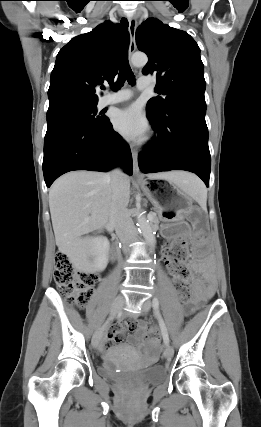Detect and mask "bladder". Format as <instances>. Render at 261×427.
Listing matches in <instances>:
<instances>
[{
  "label": "bladder",
  "mask_w": 261,
  "mask_h": 427,
  "mask_svg": "<svg viewBox=\"0 0 261 427\" xmlns=\"http://www.w3.org/2000/svg\"><path fill=\"white\" fill-rule=\"evenodd\" d=\"M98 373L107 379L120 380L124 378H135L144 383H159L166 376L165 368L161 365H153L143 369H135L129 366H119L111 360H106L98 368Z\"/></svg>",
  "instance_id": "bladder-1"
}]
</instances>
